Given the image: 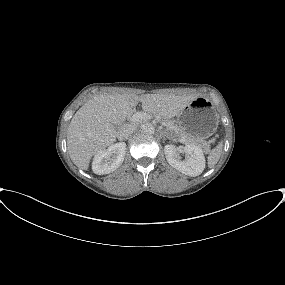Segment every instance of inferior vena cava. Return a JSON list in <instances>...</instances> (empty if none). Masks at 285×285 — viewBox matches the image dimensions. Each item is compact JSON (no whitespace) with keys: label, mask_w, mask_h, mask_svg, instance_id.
Segmentation results:
<instances>
[{"label":"inferior vena cava","mask_w":285,"mask_h":285,"mask_svg":"<svg viewBox=\"0 0 285 285\" xmlns=\"http://www.w3.org/2000/svg\"><path fill=\"white\" fill-rule=\"evenodd\" d=\"M135 131V126L132 124H125L121 126L117 131V138L119 140L128 139L129 136Z\"/></svg>","instance_id":"1"}]
</instances>
